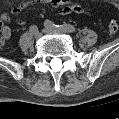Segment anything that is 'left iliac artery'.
<instances>
[{
    "mask_svg": "<svg viewBox=\"0 0 119 119\" xmlns=\"http://www.w3.org/2000/svg\"><path fill=\"white\" fill-rule=\"evenodd\" d=\"M44 25L45 27L61 30V31L68 32V33H74L76 31V28L71 24L57 25V24H54L50 20H46L44 22Z\"/></svg>",
    "mask_w": 119,
    "mask_h": 119,
    "instance_id": "left-iliac-artery-1",
    "label": "left iliac artery"
}]
</instances>
